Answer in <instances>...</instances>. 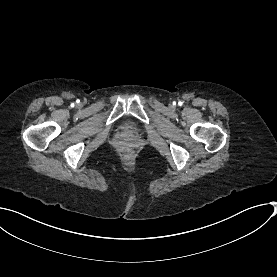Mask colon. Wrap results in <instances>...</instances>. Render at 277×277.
I'll return each mask as SVG.
<instances>
[{"instance_id": "1", "label": "colon", "mask_w": 277, "mask_h": 277, "mask_svg": "<svg viewBox=\"0 0 277 277\" xmlns=\"http://www.w3.org/2000/svg\"><path fill=\"white\" fill-rule=\"evenodd\" d=\"M124 156L128 160H135L139 156V149L135 145H128L124 149Z\"/></svg>"}]
</instances>
